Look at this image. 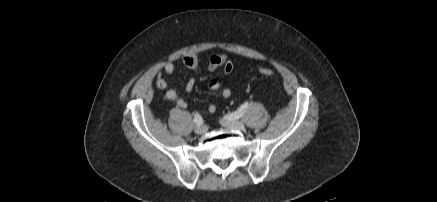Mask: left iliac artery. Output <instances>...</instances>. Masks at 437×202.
Segmentation results:
<instances>
[{
	"instance_id": "44dca946",
	"label": "left iliac artery",
	"mask_w": 437,
	"mask_h": 202,
	"mask_svg": "<svg viewBox=\"0 0 437 202\" xmlns=\"http://www.w3.org/2000/svg\"><path fill=\"white\" fill-rule=\"evenodd\" d=\"M248 105H249L248 102H245L243 105L240 106V108L237 111L232 112L231 114L225 116V118L228 120H236L240 118L247 110Z\"/></svg>"
}]
</instances>
